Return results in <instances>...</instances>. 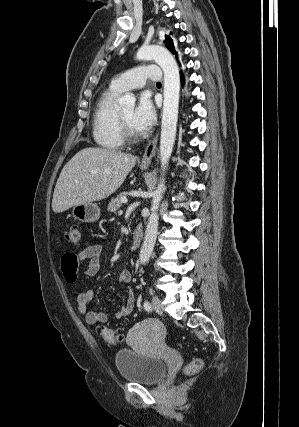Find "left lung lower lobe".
<instances>
[{"label": "left lung lower lobe", "instance_id": "1", "mask_svg": "<svg viewBox=\"0 0 299 427\" xmlns=\"http://www.w3.org/2000/svg\"><path fill=\"white\" fill-rule=\"evenodd\" d=\"M177 57H178V55H177V53H176V58H177ZM180 76H181V81H182V83H183L184 77H183L182 72H180Z\"/></svg>", "mask_w": 299, "mask_h": 427}]
</instances>
